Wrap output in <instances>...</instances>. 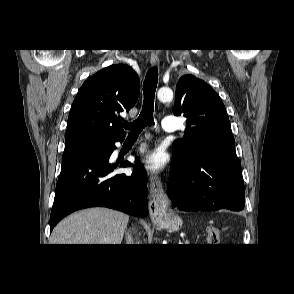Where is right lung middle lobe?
Masks as SVG:
<instances>
[{
	"label": "right lung middle lobe",
	"mask_w": 294,
	"mask_h": 294,
	"mask_svg": "<svg viewBox=\"0 0 294 294\" xmlns=\"http://www.w3.org/2000/svg\"><path fill=\"white\" fill-rule=\"evenodd\" d=\"M106 145H108V142L94 141V140L76 141V142L66 144L64 154L74 152V151L84 150V149L99 148Z\"/></svg>",
	"instance_id": "1"
}]
</instances>
